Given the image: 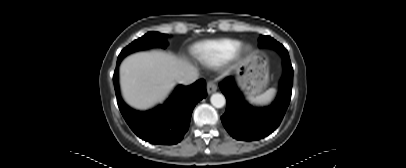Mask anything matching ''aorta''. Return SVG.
I'll return each mask as SVG.
<instances>
[{
  "label": "aorta",
  "instance_id": "aorta-1",
  "mask_svg": "<svg viewBox=\"0 0 406 168\" xmlns=\"http://www.w3.org/2000/svg\"><path fill=\"white\" fill-rule=\"evenodd\" d=\"M211 104L216 108H222L226 104V99L223 94L214 93L210 98Z\"/></svg>",
  "mask_w": 406,
  "mask_h": 168
}]
</instances>
